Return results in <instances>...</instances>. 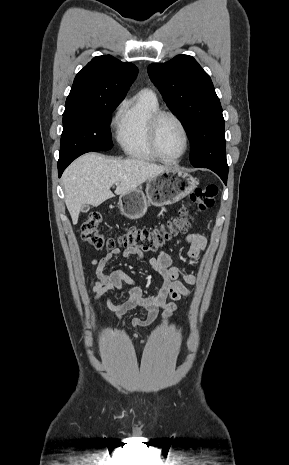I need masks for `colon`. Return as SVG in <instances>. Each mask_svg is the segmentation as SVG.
I'll return each instance as SVG.
<instances>
[{
	"label": "colon",
	"mask_w": 289,
	"mask_h": 465,
	"mask_svg": "<svg viewBox=\"0 0 289 465\" xmlns=\"http://www.w3.org/2000/svg\"><path fill=\"white\" fill-rule=\"evenodd\" d=\"M218 188L209 184L195 189L189 199L171 220L155 228L129 227L117 238L106 237L100 230L102 217L92 213L82 225V238L97 250L115 249L117 247L133 248L142 253H152L161 248L168 240L184 232L192 221L190 206L195 204L197 210L205 211L213 207Z\"/></svg>",
	"instance_id": "1"
}]
</instances>
